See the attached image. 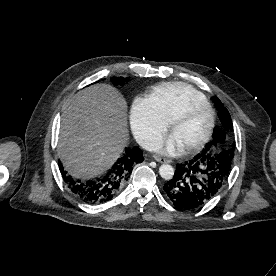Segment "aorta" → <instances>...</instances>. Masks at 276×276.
Returning a JSON list of instances; mask_svg holds the SVG:
<instances>
[{"instance_id":"aorta-1","label":"aorta","mask_w":276,"mask_h":276,"mask_svg":"<svg viewBox=\"0 0 276 276\" xmlns=\"http://www.w3.org/2000/svg\"><path fill=\"white\" fill-rule=\"evenodd\" d=\"M160 176L165 180H170L174 176V168L169 164H163L159 168Z\"/></svg>"}]
</instances>
